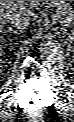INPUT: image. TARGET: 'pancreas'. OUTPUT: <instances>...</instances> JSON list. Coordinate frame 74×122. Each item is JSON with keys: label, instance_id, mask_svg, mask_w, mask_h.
Returning <instances> with one entry per match:
<instances>
[{"label": "pancreas", "instance_id": "cf45deb5", "mask_svg": "<svg viewBox=\"0 0 74 122\" xmlns=\"http://www.w3.org/2000/svg\"><path fill=\"white\" fill-rule=\"evenodd\" d=\"M30 7L50 6L55 9L56 15H59L64 25H72L74 18V9L65 1H28Z\"/></svg>", "mask_w": 74, "mask_h": 122}]
</instances>
